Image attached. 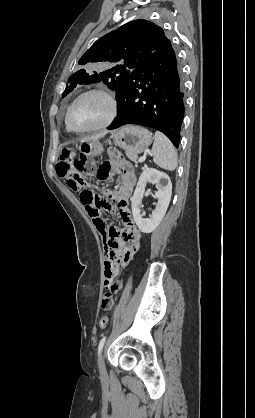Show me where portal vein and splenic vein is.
<instances>
[{
    "label": "portal vein and splenic vein",
    "instance_id": "1",
    "mask_svg": "<svg viewBox=\"0 0 255 418\" xmlns=\"http://www.w3.org/2000/svg\"><path fill=\"white\" fill-rule=\"evenodd\" d=\"M145 159H146V157H145V156H142V157H140V158L138 159V162H143V161H145Z\"/></svg>",
    "mask_w": 255,
    "mask_h": 418
}]
</instances>
